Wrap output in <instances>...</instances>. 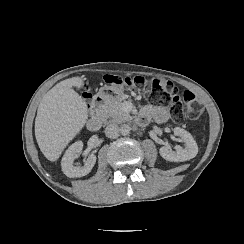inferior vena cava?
I'll use <instances>...</instances> for the list:
<instances>
[{"instance_id":"obj_1","label":"inferior vena cava","mask_w":244,"mask_h":244,"mask_svg":"<svg viewBox=\"0 0 244 244\" xmlns=\"http://www.w3.org/2000/svg\"><path fill=\"white\" fill-rule=\"evenodd\" d=\"M119 126L117 124H110L105 128L106 136L115 138L118 135Z\"/></svg>"}]
</instances>
